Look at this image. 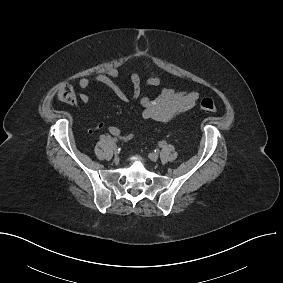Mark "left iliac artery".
<instances>
[{
    "label": "left iliac artery",
    "mask_w": 283,
    "mask_h": 283,
    "mask_svg": "<svg viewBox=\"0 0 283 283\" xmlns=\"http://www.w3.org/2000/svg\"><path fill=\"white\" fill-rule=\"evenodd\" d=\"M167 145V142L166 141H162L159 143V146L160 147H165Z\"/></svg>",
    "instance_id": "1"
}]
</instances>
